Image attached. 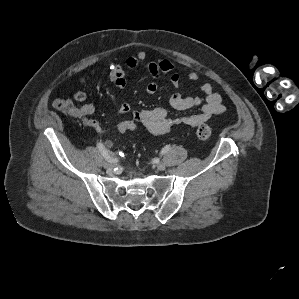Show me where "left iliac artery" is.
Segmentation results:
<instances>
[{"label":"left iliac artery","instance_id":"44dca946","mask_svg":"<svg viewBox=\"0 0 299 299\" xmlns=\"http://www.w3.org/2000/svg\"><path fill=\"white\" fill-rule=\"evenodd\" d=\"M170 145H166L163 149H162V151H161V154L163 155V154H165V153H167L169 150H170Z\"/></svg>","mask_w":299,"mask_h":299}]
</instances>
